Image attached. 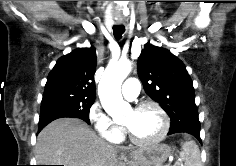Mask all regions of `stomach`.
<instances>
[{
  "label": "stomach",
  "instance_id": "0dacf381",
  "mask_svg": "<svg viewBox=\"0 0 236 166\" xmlns=\"http://www.w3.org/2000/svg\"><path fill=\"white\" fill-rule=\"evenodd\" d=\"M171 155V149L166 144H155L140 149L134 166H164Z\"/></svg>",
  "mask_w": 236,
  "mask_h": 166
}]
</instances>
